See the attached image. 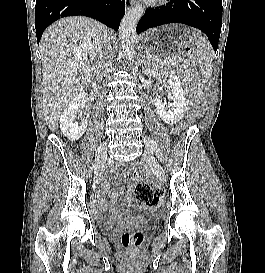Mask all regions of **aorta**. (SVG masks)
I'll return each mask as SVG.
<instances>
[{
  "instance_id": "762f6f07",
  "label": "aorta",
  "mask_w": 265,
  "mask_h": 273,
  "mask_svg": "<svg viewBox=\"0 0 265 273\" xmlns=\"http://www.w3.org/2000/svg\"><path fill=\"white\" fill-rule=\"evenodd\" d=\"M144 12L145 8L142 5H137L125 14L120 24L119 37L121 40V48L125 57L129 60H132L135 55L134 41L136 37V25Z\"/></svg>"
}]
</instances>
